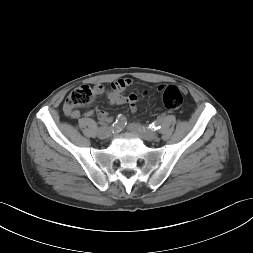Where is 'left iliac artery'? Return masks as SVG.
Returning a JSON list of instances; mask_svg holds the SVG:
<instances>
[{
  "label": "left iliac artery",
  "instance_id": "1",
  "mask_svg": "<svg viewBox=\"0 0 253 253\" xmlns=\"http://www.w3.org/2000/svg\"><path fill=\"white\" fill-rule=\"evenodd\" d=\"M150 128L154 129V130H158L161 128V121L160 120H157L155 122H153L151 125H150Z\"/></svg>",
  "mask_w": 253,
  "mask_h": 253
}]
</instances>
